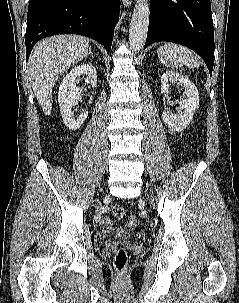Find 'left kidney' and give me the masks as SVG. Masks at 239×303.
I'll return each instance as SVG.
<instances>
[{"mask_svg":"<svg viewBox=\"0 0 239 303\" xmlns=\"http://www.w3.org/2000/svg\"><path fill=\"white\" fill-rule=\"evenodd\" d=\"M171 83H177L185 88V97L179 102L176 114L167 110L162 113L164 123L173 132L183 131L192 121L199 106V93L192 81L173 71L165 72L161 77V92L168 93Z\"/></svg>","mask_w":239,"mask_h":303,"instance_id":"5707ae66","label":"left kidney"}]
</instances>
